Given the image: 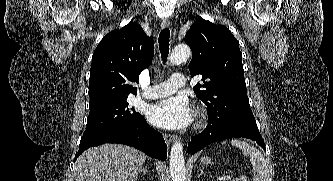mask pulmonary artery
Returning a JSON list of instances; mask_svg holds the SVG:
<instances>
[{
	"instance_id": "e3ab8cb5",
	"label": "pulmonary artery",
	"mask_w": 333,
	"mask_h": 181,
	"mask_svg": "<svg viewBox=\"0 0 333 181\" xmlns=\"http://www.w3.org/2000/svg\"><path fill=\"white\" fill-rule=\"evenodd\" d=\"M186 84L185 75L182 73L173 74L170 81L162 82L151 86L144 94L145 98L157 99L169 96L175 92L179 87Z\"/></svg>"
}]
</instances>
